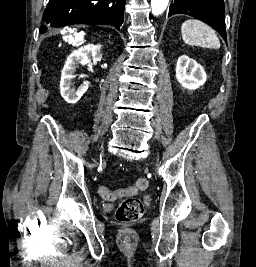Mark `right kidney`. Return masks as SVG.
I'll use <instances>...</instances> for the list:
<instances>
[{"label":"right kidney","instance_id":"obj_1","mask_svg":"<svg viewBox=\"0 0 256 267\" xmlns=\"http://www.w3.org/2000/svg\"><path fill=\"white\" fill-rule=\"evenodd\" d=\"M101 48L102 46H100V44H97V46L88 44V46H82V48L74 50V52L68 56L62 70L60 82V94L68 104H76L89 88V82H83L78 90H73L72 80L76 78V76H74L76 68H79L80 64H82V66L90 64L91 60H99V58H101Z\"/></svg>","mask_w":256,"mask_h":267}]
</instances>
